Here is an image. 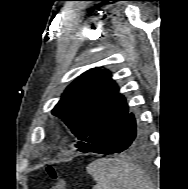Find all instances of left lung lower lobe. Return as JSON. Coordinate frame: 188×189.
<instances>
[{
    "instance_id": "left-lung-lower-lobe-1",
    "label": "left lung lower lobe",
    "mask_w": 188,
    "mask_h": 189,
    "mask_svg": "<svg viewBox=\"0 0 188 189\" xmlns=\"http://www.w3.org/2000/svg\"><path fill=\"white\" fill-rule=\"evenodd\" d=\"M146 140L147 135L137 127L134 115L128 113L90 151L100 154L121 153L137 148Z\"/></svg>"
}]
</instances>
